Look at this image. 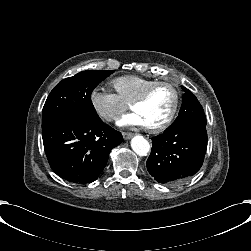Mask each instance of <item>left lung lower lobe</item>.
Segmentation results:
<instances>
[{"mask_svg": "<svg viewBox=\"0 0 251 251\" xmlns=\"http://www.w3.org/2000/svg\"><path fill=\"white\" fill-rule=\"evenodd\" d=\"M151 140L147 170L157 182L176 184L201 168L207 148L206 124H183Z\"/></svg>", "mask_w": 251, "mask_h": 251, "instance_id": "0a47b994", "label": "left lung lower lobe"}]
</instances>
